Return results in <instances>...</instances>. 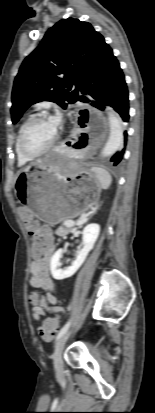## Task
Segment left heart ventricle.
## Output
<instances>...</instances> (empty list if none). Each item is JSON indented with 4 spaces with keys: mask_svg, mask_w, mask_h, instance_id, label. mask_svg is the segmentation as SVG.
I'll list each match as a JSON object with an SVG mask.
<instances>
[{
    "mask_svg": "<svg viewBox=\"0 0 155 413\" xmlns=\"http://www.w3.org/2000/svg\"><path fill=\"white\" fill-rule=\"evenodd\" d=\"M57 129L51 120L37 121L29 127L25 136V144L32 151L45 148L54 139Z\"/></svg>",
    "mask_w": 155,
    "mask_h": 413,
    "instance_id": "left-heart-ventricle-1",
    "label": "left heart ventricle"
}]
</instances>
